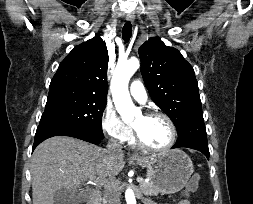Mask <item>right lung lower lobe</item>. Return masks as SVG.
<instances>
[{
	"instance_id": "1",
	"label": "right lung lower lobe",
	"mask_w": 253,
	"mask_h": 204,
	"mask_svg": "<svg viewBox=\"0 0 253 204\" xmlns=\"http://www.w3.org/2000/svg\"><path fill=\"white\" fill-rule=\"evenodd\" d=\"M53 136H71L93 144H99L102 140V138L97 135L84 132L77 128L62 125L40 124L35 134L32 150H34L42 141Z\"/></svg>"
}]
</instances>
